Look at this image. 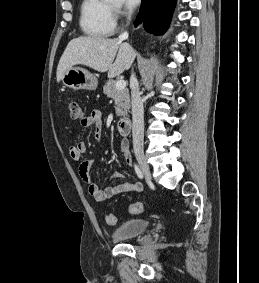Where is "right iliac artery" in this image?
I'll list each match as a JSON object with an SVG mask.
<instances>
[{
    "instance_id": "right-iliac-artery-1",
    "label": "right iliac artery",
    "mask_w": 259,
    "mask_h": 283,
    "mask_svg": "<svg viewBox=\"0 0 259 283\" xmlns=\"http://www.w3.org/2000/svg\"><path fill=\"white\" fill-rule=\"evenodd\" d=\"M134 167H135V172H136L137 176L140 179H143L144 173H143L142 169L137 164H135Z\"/></svg>"
}]
</instances>
